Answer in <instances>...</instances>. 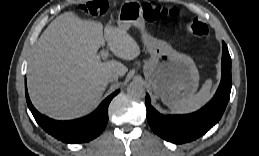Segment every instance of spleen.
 <instances>
[{
  "mask_svg": "<svg viewBox=\"0 0 259 156\" xmlns=\"http://www.w3.org/2000/svg\"><path fill=\"white\" fill-rule=\"evenodd\" d=\"M211 87L212 80H206L197 94L169 105L170 110L177 114H186L198 110L211 99Z\"/></svg>",
  "mask_w": 259,
  "mask_h": 156,
  "instance_id": "obj_1",
  "label": "spleen"
}]
</instances>
